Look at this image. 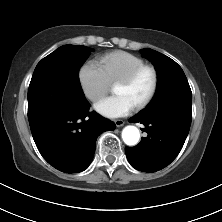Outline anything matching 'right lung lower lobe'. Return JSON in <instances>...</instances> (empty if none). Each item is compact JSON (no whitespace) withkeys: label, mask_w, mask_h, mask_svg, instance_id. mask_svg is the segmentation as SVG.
I'll use <instances>...</instances> for the list:
<instances>
[{"label":"right lung lower lobe","mask_w":222,"mask_h":222,"mask_svg":"<svg viewBox=\"0 0 222 222\" xmlns=\"http://www.w3.org/2000/svg\"><path fill=\"white\" fill-rule=\"evenodd\" d=\"M90 104L69 110L41 109L28 113L35 144L43 158L64 173L84 171L93 158L97 137L115 124Z\"/></svg>","instance_id":"right-lung-lower-lobe-1"}]
</instances>
